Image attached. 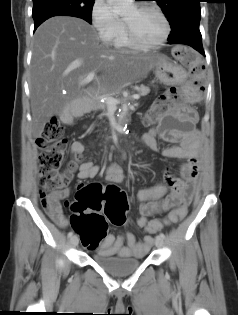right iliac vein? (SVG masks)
<instances>
[{
    "label": "right iliac vein",
    "mask_w": 238,
    "mask_h": 315,
    "mask_svg": "<svg viewBox=\"0 0 238 315\" xmlns=\"http://www.w3.org/2000/svg\"><path fill=\"white\" fill-rule=\"evenodd\" d=\"M78 243H79V238H78V236H77V235L72 236V237H71V245H72L73 247H76V246L78 245Z\"/></svg>",
    "instance_id": "63e3f726"
}]
</instances>
